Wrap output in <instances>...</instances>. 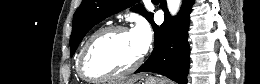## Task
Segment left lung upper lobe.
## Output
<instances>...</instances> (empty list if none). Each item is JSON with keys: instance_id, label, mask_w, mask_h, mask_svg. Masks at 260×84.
Returning <instances> with one entry per match:
<instances>
[{"instance_id": "5c2ea615", "label": "left lung upper lobe", "mask_w": 260, "mask_h": 84, "mask_svg": "<svg viewBox=\"0 0 260 84\" xmlns=\"http://www.w3.org/2000/svg\"><path fill=\"white\" fill-rule=\"evenodd\" d=\"M139 0H83L73 16V28L70 37L71 55H73L86 33L106 17L133 6ZM150 22L153 14L146 12L141 4L132 7Z\"/></svg>"}]
</instances>
